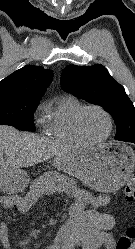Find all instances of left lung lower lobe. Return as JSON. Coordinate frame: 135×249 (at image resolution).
Wrapping results in <instances>:
<instances>
[{"mask_svg":"<svg viewBox=\"0 0 135 249\" xmlns=\"http://www.w3.org/2000/svg\"><path fill=\"white\" fill-rule=\"evenodd\" d=\"M130 142L135 144V140H131Z\"/></svg>","mask_w":135,"mask_h":249,"instance_id":"left-lung-lower-lobe-1","label":"left lung lower lobe"}]
</instances>
